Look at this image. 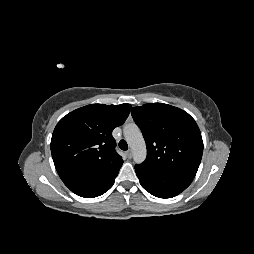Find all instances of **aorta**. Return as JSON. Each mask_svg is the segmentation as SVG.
<instances>
[{
    "label": "aorta",
    "mask_w": 254,
    "mask_h": 254,
    "mask_svg": "<svg viewBox=\"0 0 254 254\" xmlns=\"http://www.w3.org/2000/svg\"><path fill=\"white\" fill-rule=\"evenodd\" d=\"M124 136L131 147L134 161L142 163L146 159L147 150L140 129L133 123L127 124L124 126Z\"/></svg>",
    "instance_id": "1"
}]
</instances>
